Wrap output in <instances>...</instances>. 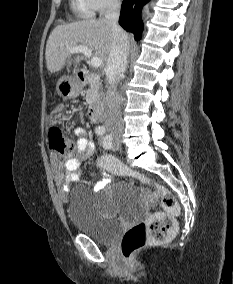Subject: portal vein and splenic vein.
I'll list each match as a JSON object with an SVG mask.
<instances>
[{"label": "portal vein and splenic vein", "instance_id": "18ae733b", "mask_svg": "<svg viewBox=\"0 0 233 284\" xmlns=\"http://www.w3.org/2000/svg\"><path fill=\"white\" fill-rule=\"evenodd\" d=\"M70 53H83L86 57H91L92 56V51L83 45H78L70 49ZM91 65L94 68H99L103 65V60L98 57H93L91 59Z\"/></svg>", "mask_w": 233, "mask_h": 284}]
</instances>
